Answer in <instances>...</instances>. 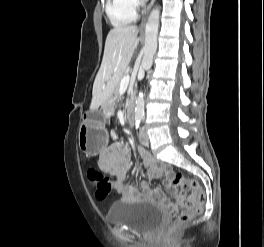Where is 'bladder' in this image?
Masks as SVG:
<instances>
[{"mask_svg":"<svg viewBox=\"0 0 264 247\" xmlns=\"http://www.w3.org/2000/svg\"><path fill=\"white\" fill-rule=\"evenodd\" d=\"M109 223L122 224L138 233H152L165 223L166 213L154 204L143 201H118L107 213Z\"/></svg>","mask_w":264,"mask_h":247,"instance_id":"bladder-1","label":"bladder"}]
</instances>
